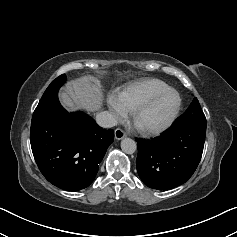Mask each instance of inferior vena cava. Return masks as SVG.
Instances as JSON below:
<instances>
[{
	"label": "inferior vena cava",
	"instance_id": "602c4592",
	"mask_svg": "<svg viewBox=\"0 0 237 237\" xmlns=\"http://www.w3.org/2000/svg\"><path fill=\"white\" fill-rule=\"evenodd\" d=\"M96 123L103 128H111L117 125V120L112 113L103 111L96 115Z\"/></svg>",
	"mask_w": 237,
	"mask_h": 237
}]
</instances>
